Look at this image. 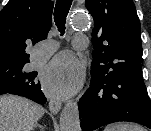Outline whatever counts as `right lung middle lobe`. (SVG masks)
I'll return each mask as SVG.
<instances>
[{
	"label": "right lung middle lobe",
	"mask_w": 151,
	"mask_h": 131,
	"mask_svg": "<svg viewBox=\"0 0 151 131\" xmlns=\"http://www.w3.org/2000/svg\"><path fill=\"white\" fill-rule=\"evenodd\" d=\"M21 59H6L0 61V81L2 80L5 85L17 84L23 79L34 76L33 73H26L23 70L25 63Z\"/></svg>",
	"instance_id": "right-lung-middle-lobe-1"
}]
</instances>
